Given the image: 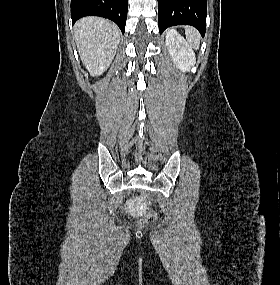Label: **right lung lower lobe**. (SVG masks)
Wrapping results in <instances>:
<instances>
[{
    "label": "right lung lower lobe",
    "mask_w": 280,
    "mask_h": 285,
    "mask_svg": "<svg viewBox=\"0 0 280 285\" xmlns=\"http://www.w3.org/2000/svg\"><path fill=\"white\" fill-rule=\"evenodd\" d=\"M128 0H71V18L74 24L84 16H100L114 21L125 31Z\"/></svg>",
    "instance_id": "1"
}]
</instances>
